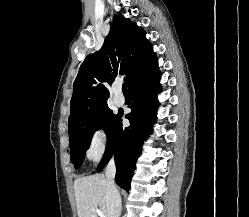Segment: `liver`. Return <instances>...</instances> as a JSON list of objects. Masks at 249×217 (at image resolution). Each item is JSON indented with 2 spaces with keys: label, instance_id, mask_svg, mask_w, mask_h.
Here are the masks:
<instances>
[{
  "label": "liver",
  "instance_id": "6515ba94",
  "mask_svg": "<svg viewBox=\"0 0 249 217\" xmlns=\"http://www.w3.org/2000/svg\"><path fill=\"white\" fill-rule=\"evenodd\" d=\"M106 186V177L103 174L81 177L74 181L78 217H97L98 208L105 217H109Z\"/></svg>",
  "mask_w": 249,
  "mask_h": 217
}]
</instances>
